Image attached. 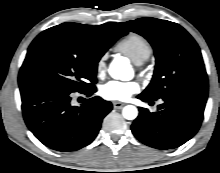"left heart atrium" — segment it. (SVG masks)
I'll return each instance as SVG.
<instances>
[{
  "instance_id": "obj_1",
  "label": "left heart atrium",
  "mask_w": 220,
  "mask_h": 173,
  "mask_svg": "<svg viewBox=\"0 0 220 173\" xmlns=\"http://www.w3.org/2000/svg\"><path fill=\"white\" fill-rule=\"evenodd\" d=\"M139 91V85L135 81H109L100 88L101 96L110 101H126Z\"/></svg>"
}]
</instances>
